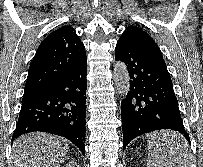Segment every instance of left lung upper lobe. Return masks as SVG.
Returning a JSON list of instances; mask_svg holds the SVG:
<instances>
[{"instance_id": "1", "label": "left lung upper lobe", "mask_w": 203, "mask_h": 167, "mask_svg": "<svg viewBox=\"0 0 203 167\" xmlns=\"http://www.w3.org/2000/svg\"><path fill=\"white\" fill-rule=\"evenodd\" d=\"M119 41L127 43L147 55L164 61L156 42L139 27H128L126 31L123 32Z\"/></svg>"}]
</instances>
